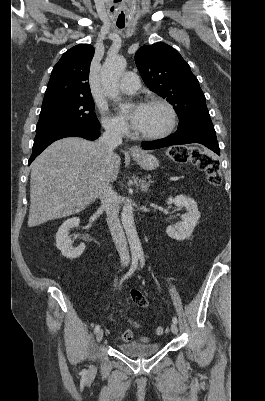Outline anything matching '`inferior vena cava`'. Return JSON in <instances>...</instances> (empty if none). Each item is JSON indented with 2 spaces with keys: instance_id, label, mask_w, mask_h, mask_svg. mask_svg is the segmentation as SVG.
I'll return each mask as SVG.
<instances>
[{
  "instance_id": "obj_1",
  "label": "inferior vena cava",
  "mask_w": 265,
  "mask_h": 401,
  "mask_svg": "<svg viewBox=\"0 0 265 401\" xmlns=\"http://www.w3.org/2000/svg\"><path fill=\"white\" fill-rule=\"evenodd\" d=\"M104 128L105 132H103V136H100L99 142L104 146L109 158H111L114 148L122 142V126L118 122V124H105ZM95 194H98L99 198H101L102 205L106 209L108 227L120 259L129 261L127 241L118 217L120 207L116 190H113L109 180H104L102 184L97 186Z\"/></svg>"
}]
</instances>
